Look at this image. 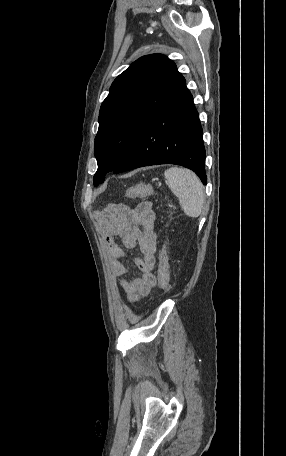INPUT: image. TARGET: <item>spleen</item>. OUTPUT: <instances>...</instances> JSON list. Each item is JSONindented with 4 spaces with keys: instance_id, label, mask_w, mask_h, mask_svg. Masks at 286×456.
I'll list each match as a JSON object with an SVG mask.
<instances>
[{
    "instance_id": "spleen-1",
    "label": "spleen",
    "mask_w": 286,
    "mask_h": 456,
    "mask_svg": "<svg viewBox=\"0 0 286 456\" xmlns=\"http://www.w3.org/2000/svg\"><path fill=\"white\" fill-rule=\"evenodd\" d=\"M166 183L178 197L184 213L192 218L199 217L205 205L203 185L198 176L188 170L172 167L164 172Z\"/></svg>"
}]
</instances>
